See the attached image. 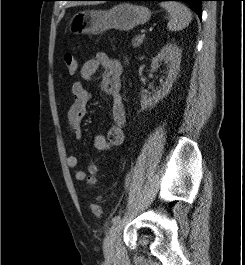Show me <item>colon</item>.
I'll list each match as a JSON object with an SVG mask.
<instances>
[{
	"label": "colon",
	"mask_w": 245,
	"mask_h": 265,
	"mask_svg": "<svg viewBox=\"0 0 245 265\" xmlns=\"http://www.w3.org/2000/svg\"><path fill=\"white\" fill-rule=\"evenodd\" d=\"M63 62L67 71L70 74L76 73L78 69V62L73 54L65 53L63 56ZM88 172H89V183L95 184L97 181V173H98L97 165L95 163L90 164L88 167ZM90 209L92 213L96 216H100L103 212L101 206L98 203H91Z\"/></svg>",
	"instance_id": "colon-1"
}]
</instances>
